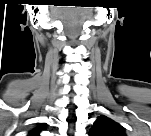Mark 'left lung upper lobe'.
<instances>
[{
    "label": "left lung upper lobe",
    "instance_id": "obj_1",
    "mask_svg": "<svg viewBox=\"0 0 151 136\" xmlns=\"http://www.w3.org/2000/svg\"><path fill=\"white\" fill-rule=\"evenodd\" d=\"M89 136H125V130L119 123L101 115L90 129Z\"/></svg>",
    "mask_w": 151,
    "mask_h": 136
}]
</instances>
